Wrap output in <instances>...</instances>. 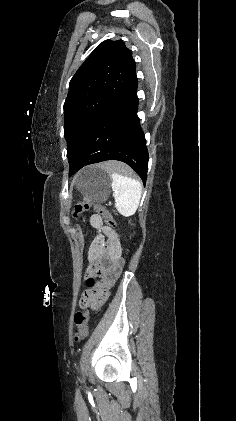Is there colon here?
Returning a JSON list of instances; mask_svg holds the SVG:
<instances>
[{
    "mask_svg": "<svg viewBox=\"0 0 236 421\" xmlns=\"http://www.w3.org/2000/svg\"><path fill=\"white\" fill-rule=\"evenodd\" d=\"M90 209L95 210L97 213L101 214L108 227H115V221L108 210L100 205L91 202H82L77 204L73 209V215L75 217L79 216L83 212H86ZM98 270L95 264H91L88 270L86 284L89 288H94L96 284V277ZM88 297L87 294L84 295L81 304L84 306V309L77 312L74 317V322L77 327V332L75 334V339L77 341L84 339L88 335V322H89V310L87 308Z\"/></svg>",
    "mask_w": 236,
    "mask_h": 421,
    "instance_id": "obj_1",
    "label": "colon"
}]
</instances>
